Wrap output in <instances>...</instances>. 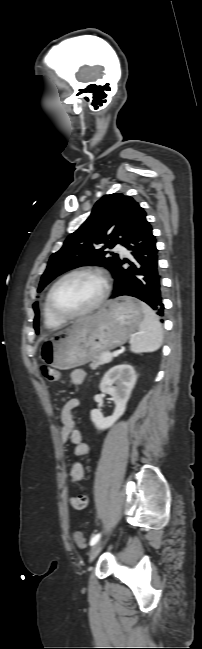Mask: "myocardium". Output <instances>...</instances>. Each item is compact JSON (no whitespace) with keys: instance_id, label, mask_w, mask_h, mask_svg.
<instances>
[{"instance_id":"myocardium-1","label":"myocardium","mask_w":202,"mask_h":649,"mask_svg":"<svg viewBox=\"0 0 202 649\" xmlns=\"http://www.w3.org/2000/svg\"><path fill=\"white\" fill-rule=\"evenodd\" d=\"M76 274H90V275L96 276L102 283V291H101L99 297L97 298V300L93 304H91L89 307H87L86 309H84L82 311H79V312H75V313H65V312L61 311L56 306V304L54 302V292H55L57 286L63 280H65L66 278H68L70 276L76 275ZM110 288H111L110 279H109L107 273L104 270H102L100 268H96V267H78V268H74V269L64 273L62 276H60L53 283V285L51 286V288H50V290H49V292L47 294L48 307H49V310L52 313V315L54 317L60 319V320L68 321V320L77 319V318L86 316V315L94 312L95 310H97L104 303V301L107 299V297L109 296Z\"/></svg>"}]
</instances>
